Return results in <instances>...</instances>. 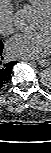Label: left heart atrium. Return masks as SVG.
Wrapping results in <instances>:
<instances>
[{
  "mask_svg": "<svg viewBox=\"0 0 51 153\" xmlns=\"http://www.w3.org/2000/svg\"><path fill=\"white\" fill-rule=\"evenodd\" d=\"M9 52L17 57L37 59L49 54L51 34L48 30L18 34L7 42Z\"/></svg>",
  "mask_w": 51,
  "mask_h": 153,
  "instance_id": "left-heart-atrium-1",
  "label": "left heart atrium"
}]
</instances>
